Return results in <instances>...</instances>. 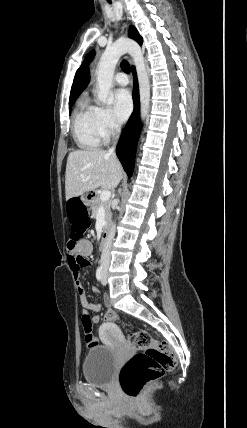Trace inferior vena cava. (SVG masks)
Returning a JSON list of instances; mask_svg holds the SVG:
<instances>
[{
	"mask_svg": "<svg viewBox=\"0 0 247 428\" xmlns=\"http://www.w3.org/2000/svg\"><path fill=\"white\" fill-rule=\"evenodd\" d=\"M116 132L120 133V126L116 125L115 126ZM115 146H116V142L114 143V145L109 149L108 153L109 154H114L115 151ZM115 224L112 225V228L108 234L107 240L105 242L104 248L102 250V254H101V265L105 268H108L109 264H110V249H111V245H112V241L114 239L115 236Z\"/></svg>",
	"mask_w": 247,
	"mask_h": 428,
	"instance_id": "602c4592",
	"label": "inferior vena cava"
}]
</instances>
